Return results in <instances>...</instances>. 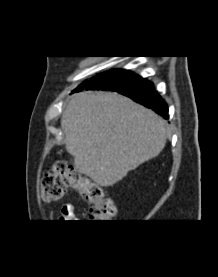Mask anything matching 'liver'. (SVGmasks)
Instances as JSON below:
<instances>
[{
  "mask_svg": "<svg viewBox=\"0 0 218 277\" xmlns=\"http://www.w3.org/2000/svg\"><path fill=\"white\" fill-rule=\"evenodd\" d=\"M61 128L75 168L102 187L158 156L167 139L165 120L115 92L75 94L63 110Z\"/></svg>",
  "mask_w": 218,
  "mask_h": 277,
  "instance_id": "1",
  "label": "liver"
}]
</instances>
